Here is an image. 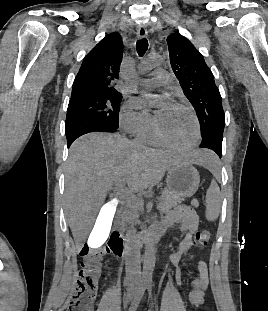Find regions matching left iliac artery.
I'll list each match as a JSON object with an SVG mask.
<instances>
[{
  "label": "left iliac artery",
  "mask_w": 268,
  "mask_h": 311,
  "mask_svg": "<svg viewBox=\"0 0 268 311\" xmlns=\"http://www.w3.org/2000/svg\"><path fill=\"white\" fill-rule=\"evenodd\" d=\"M148 293H149V296L151 297L152 296V280L148 281Z\"/></svg>",
  "instance_id": "obj_1"
}]
</instances>
